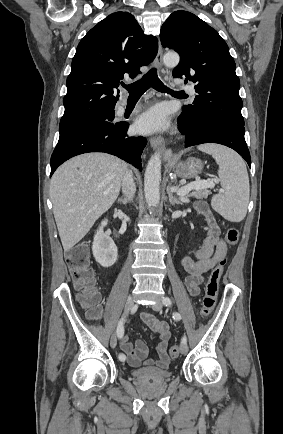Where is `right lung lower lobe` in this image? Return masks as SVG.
I'll use <instances>...</instances> for the list:
<instances>
[{"label": "right lung lower lobe", "instance_id": "1", "mask_svg": "<svg viewBox=\"0 0 283 434\" xmlns=\"http://www.w3.org/2000/svg\"><path fill=\"white\" fill-rule=\"evenodd\" d=\"M112 115L114 119V111ZM112 121L89 122L61 133L51 156V175L69 158L88 152L109 153L142 170L141 154L146 138L129 137L128 123Z\"/></svg>", "mask_w": 283, "mask_h": 434}]
</instances>
